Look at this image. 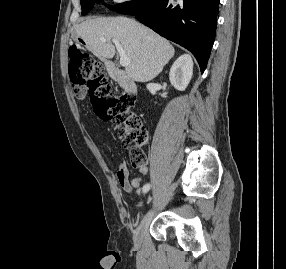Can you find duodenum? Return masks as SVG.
<instances>
[{"instance_id":"410a0bca","label":"duodenum","mask_w":286,"mask_h":269,"mask_svg":"<svg viewBox=\"0 0 286 269\" xmlns=\"http://www.w3.org/2000/svg\"><path fill=\"white\" fill-rule=\"evenodd\" d=\"M108 76L114 81L118 82L119 85L127 91L130 95L135 96L137 93V87L135 82L114 63L108 62L106 64Z\"/></svg>"}]
</instances>
